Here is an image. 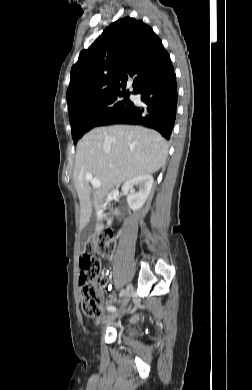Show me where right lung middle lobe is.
<instances>
[{
  "instance_id": "1",
  "label": "right lung middle lobe",
  "mask_w": 252,
  "mask_h": 390,
  "mask_svg": "<svg viewBox=\"0 0 252 390\" xmlns=\"http://www.w3.org/2000/svg\"><path fill=\"white\" fill-rule=\"evenodd\" d=\"M129 94H117L79 105L69 111L72 138L76 143L86 132L93 127L106 125L132 106L128 99ZM124 100H118V97Z\"/></svg>"
}]
</instances>
